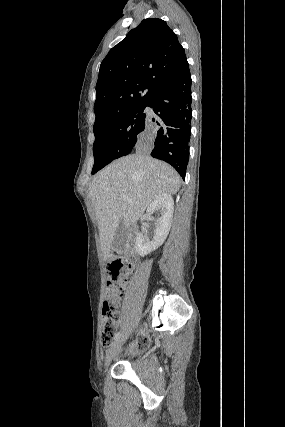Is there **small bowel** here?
Here are the masks:
<instances>
[{
    "instance_id": "small-bowel-1",
    "label": "small bowel",
    "mask_w": 285,
    "mask_h": 427,
    "mask_svg": "<svg viewBox=\"0 0 285 427\" xmlns=\"http://www.w3.org/2000/svg\"><path fill=\"white\" fill-rule=\"evenodd\" d=\"M150 342V338L146 335H143L140 339H139V345L141 347H146Z\"/></svg>"
}]
</instances>
